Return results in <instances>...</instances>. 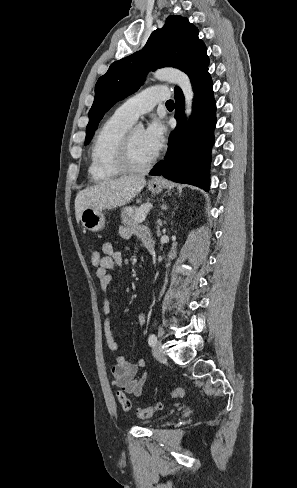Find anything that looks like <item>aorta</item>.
I'll return each instance as SVG.
<instances>
[{
	"label": "aorta",
	"instance_id": "aorta-1",
	"mask_svg": "<svg viewBox=\"0 0 297 488\" xmlns=\"http://www.w3.org/2000/svg\"><path fill=\"white\" fill-rule=\"evenodd\" d=\"M153 74L156 79L169 81L181 88L185 98V115L188 119L192 112L194 98V92L189 77L184 72L173 68L158 69ZM137 127H142V124H138Z\"/></svg>",
	"mask_w": 297,
	"mask_h": 488
}]
</instances>
